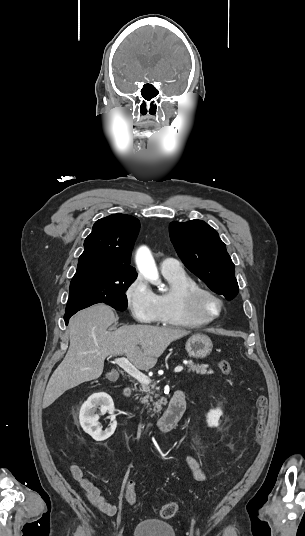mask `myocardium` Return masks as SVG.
I'll list each match as a JSON object with an SVG mask.
<instances>
[{"mask_svg": "<svg viewBox=\"0 0 305 536\" xmlns=\"http://www.w3.org/2000/svg\"><path fill=\"white\" fill-rule=\"evenodd\" d=\"M213 297L220 303L219 312L210 318L203 315V300ZM179 302L184 315L195 322V326H207L215 323L225 311V300L218 292L207 287H194L181 293Z\"/></svg>", "mask_w": 305, "mask_h": 536, "instance_id": "f54148a6", "label": "myocardium"}]
</instances>
